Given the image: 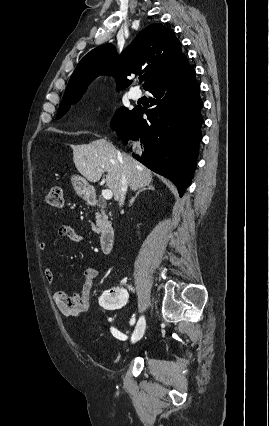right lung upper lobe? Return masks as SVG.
<instances>
[{"instance_id": "right-lung-upper-lobe-1", "label": "right lung upper lobe", "mask_w": 269, "mask_h": 426, "mask_svg": "<svg viewBox=\"0 0 269 426\" xmlns=\"http://www.w3.org/2000/svg\"><path fill=\"white\" fill-rule=\"evenodd\" d=\"M122 56L128 67L125 71L121 69L113 45L104 44L91 50L71 75L63 99L82 96L87 86L104 73H112L118 89L123 90L131 84L127 75L144 72L147 76L144 89L147 90L189 66L173 30L160 23L151 24L140 31Z\"/></svg>"}]
</instances>
